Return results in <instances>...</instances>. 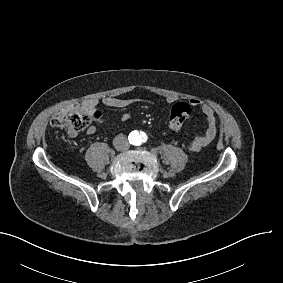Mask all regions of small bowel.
<instances>
[{"mask_svg": "<svg viewBox=\"0 0 283 283\" xmlns=\"http://www.w3.org/2000/svg\"><path fill=\"white\" fill-rule=\"evenodd\" d=\"M168 103H173L174 99L172 97H168L166 99ZM139 102H143V100L138 99V98H118V97H104L101 100L97 98H89L86 99L82 102L81 104V109L85 113L89 114L93 120L96 123H103L105 121L102 113L97 110V106L99 104H102L106 107L110 108H127L129 106H132L134 104H137ZM148 104H153L151 101H145ZM180 103H185L189 105L190 107H200L203 113V119H204V130L201 134L197 135L194 137L188 144L187 148L191 152H199L206 146H208L216 137L217 134V119L215 116V113L211 106L208 104L202 103L200 100L193 98L190 99L187 102H179L176 105ZM175 105V106H176ZM130 119V114L129 113H123L121 116L122 121H127ZM170 127V126H169ZM171 128V127H170ZM172 130H175L171 128ZM97 132L96 127L90 126L87 129V134L93 135Z\"/></svg>", "mask_w": 283, "mask_h": 283, "instance_id": "c3829d8e", "label": "small bowel"}]
</instances>
